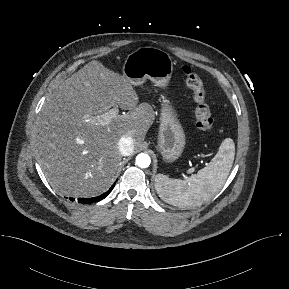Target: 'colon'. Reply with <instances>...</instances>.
Returning a JSON list of instances; mask_svg holds the SVG:
<instances>
[{
  "mask_svg": "<svg viewBox=\"0 0 289 289\" xmlns=\"http://www.w3.org/2000/svg\"><path fill=\"white\" fill-rule=\"evenodd\" d=\"M182 70L186 77V85L192 91L193 99L196 104L195 118L197 128L203 134H210L213 130L214 118L211 109L206 102L203 82L190 66L184 65Z\"/></svg>",
  "mask_w": 289,
  "mask_h": 289,
  "instance_id": "colon-1",
  "label": "colon"
}]
</instances>
